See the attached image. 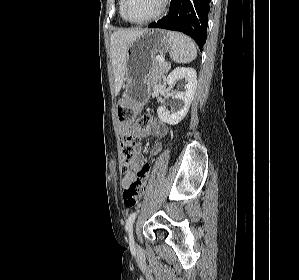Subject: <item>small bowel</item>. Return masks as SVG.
<instances>
[{
    "label": "small bowel",
    "mask_w": 299,
    "mask_h": 280,
    "mask_svg": "<svg viewBox=\"0 0 299 280\" xmlns=\"http://www.w3.org/2000/svg\"><path fill=\"white\" fill-rule=\"evenodd\" d=\"M132 126H126L123 129L125 136H131ZM168 135L167 127L159 120L151 118L150 124L146 127V133H140V136H134L137 139L135 144V151L133 158L129 165L123 167L124 176L122 179V187L125 189L138 178V170L140 165L144 162V156L142 153V147L139 143L140 140L155 136L161 139H166ZM162 149V141L155 142L151 148V151L154 155L160 153Z\"/></svg>",
    "instance_id": "c3829d8e"
}]
</instances>
